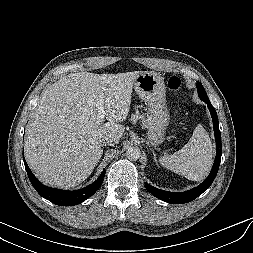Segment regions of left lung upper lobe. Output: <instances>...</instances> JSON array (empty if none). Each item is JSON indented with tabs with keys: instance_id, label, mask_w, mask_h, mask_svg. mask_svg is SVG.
<instances>
[{
	"instance_id": "5c2ea615",
	"label": "left lung upper lobe",
	"mask_w": 253,
	"mask_h": 253,
	"mask_svg": "<svg viewBox=\"0 0 253 253\" xmlns=\"http://www.w3.org/2000/svg\"><path fill=\"white\" fill-rule=\"evenodd\" d=\"M197 90H198V95L201 100H203V101L209 100V98L205 92V89L200 82H197Z\"/></svg>"
}]
</instances>
